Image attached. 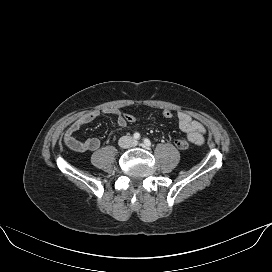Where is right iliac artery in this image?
Listing matches in <instances>:
<instances>
[{
    "label": "right iliac artery",
    "mask_w": 272,
    "mask_h": 272,
    "mask_svg": "<svg viewBox=\"0 0 272 272\" xmlns=\"http://www.w3.org/2000/svg\"><path fill=\"white\" fill-rule=\"evenodd\" d=\"M133 136H134L135 139H139L140 138V134L138 132L134 133Z\"/></svg>",
    "instance_id": "obj_1"
}]
</instances>
